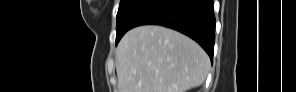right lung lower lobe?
I'll return each instance as SVG.
<instances>
[{"label":"right lung lower lobe","mask_w":296,"mask_h":92,"mask_svg":"<svg viewBox=\"0 0 296 92\" xmlns=\"http://www.w3.org/2000/svg\"><path fill=\"white\" fill-rule=\"evenodd\" d=\"M215 23L213 0H154L131 28L155 24L175 29L198 42L212 60Z\"/></svg>","instance_id":"right-lung-lower-lobe-1"}]
</instances>
